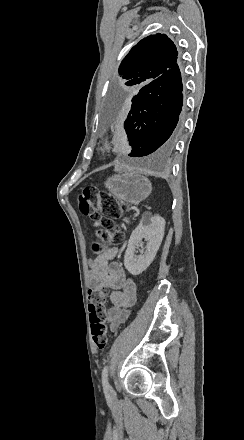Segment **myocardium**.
<instances>
[{
  "label": "myocardium",
  "mask_w": 244,
  "mask_h": 440,
  "mask_svg": "<svg viewBox=\"0 0 244 440\" xmlns=\"http://www.w3.org/2000/svg\"><path fill=\"white\" fill-rule=\"evenodd\" d=\"M105 149H106V142H105V141H103V142H102V146H101L100 150H101L102 152H104V151H105Z\"/></svg>",
  "instance_id": "1"
}]
</instances>
